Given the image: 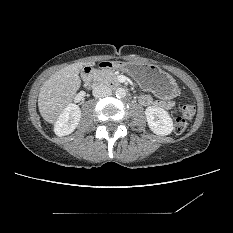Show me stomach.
Instances as JSON below:
<instances>
[{
	"label": "stomach",
	"instance_id": "obj_1",
	"mask_svg": "<svg viewBox=\"0 0 233 233\" xmlns=\"http://www.w3.org/2000/svg\"><path fill=\"white\" fill-rule=\"evenodd\" d=\"M117 69L134 78L138 84L160 98H173L178 90L177 83L171 75L157 65L140 62H116Z\"/></svg>",
	"mask_w": 233,
	"mask_h": 233
}]
</instances>
